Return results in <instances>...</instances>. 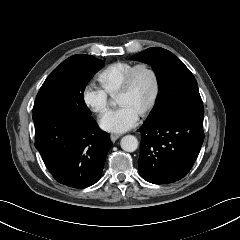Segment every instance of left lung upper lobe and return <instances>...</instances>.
<instances>
[{"mask_svg": "<svg viewBox=\"0 0 240 240\" xmlns=\"http://www.w3.org/2000/svg\"><path fill=\"white\" fill-rule=\"evenodd\" d=\"M151 64L159 86L156 104L146 123H156L177 112L204 114L198 84L190 70L170 51L151 47L132 56Z\"/></svg>", "mask_w": 240, "mask_h": 240, "instance_id": "1", "label": "left lung upper lobe"}]
</instances>
